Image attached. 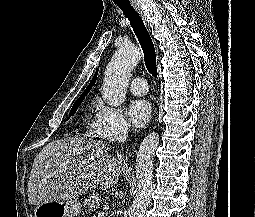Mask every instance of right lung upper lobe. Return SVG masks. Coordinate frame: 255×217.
<instances>
[{
	"mask_svg": "<svg viewBox=\"0 0 255 217\" xmlns=\"http://www.w3.org/2000/svg\"><path fill=\"white\" fill-rule=\"evenodd\" d=\"M97 74H98V71L94 74V76H93V78H92L90 84L87 86L86 90L81 94V96L84 95V94H88V92L90 91L91 87H92V86L95 84V82H96ZM81 96H80V97H81Z\"/></svg>",
	"mask_w": 255,
	"mask_h": 217,
	"instance_id": "obj_1",
	"label": "right lung upper lobe"
}]
</instances>
